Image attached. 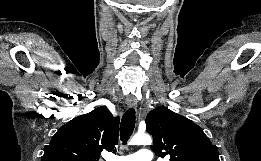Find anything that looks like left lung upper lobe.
Wrapping results in <instances>:
<instances>
[{"mask_svg":"<svg viewBox=\"0 0 261 161\" xmlns=\"http://www.w3.org/2000/svg\"><path fill=\"white\" fill-rule=\"evenodd\" d=\"M146 129L154 139L151 149L159 157L168 156L170 161H220L217 147L203 130L166 107L147 115Z\"/></svg>","mask_w":261,"mask_h":161,"instance_id":"1","label":"left lung upper lobe"}]
</instances>
